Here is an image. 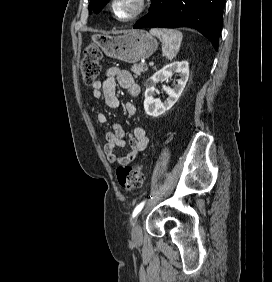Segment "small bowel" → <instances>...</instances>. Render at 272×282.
<instances>
[{
    "label": "small bowel",
    "mask_w": 272,
    "mask_h": 282,
    "mask_svg": "<svg viewBox=\"0 0 272 282\" xmlns=\"http://www.w3.org/2000/svg\"><path fill=\"white\" fill-rule=\"evenodd\" d=\"M117 85L123 88L132 98L138 97L140 93V87L135 83L132 75L125 69L113 66L107 69L102 80H98L93 84V97L95 99L103 98L109 108L116 109L119 107V100L116 95ZM93 111L95 110L93 109ZM125 111L129 116H133L136 107L132 102H127ZM96 116L99 123L104 124L107 122V117L103 113H97ZM104 135L107 141L104 152L108 162L111 164H130L146 149L149 143L145 129L136 127L130 136L128 151L125 155L119 156L116 154V149L125 146V130L123 126L115 123L112 131H106Z\"/></svg>",
    "instance_id": "1"
}]
</instances>
